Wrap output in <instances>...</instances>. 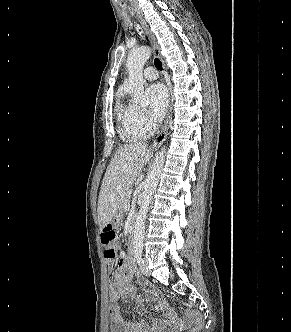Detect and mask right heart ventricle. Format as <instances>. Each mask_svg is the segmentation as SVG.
Wrapping results in <instances>:
<instances>
[{
	"label": "right heart ventricle",
	"instance_id": "right-heart-ventricle-1",
	"mask_svg": "<svg viewBox=\"0 0 291 332\" xmlns=\"http://www.w3.org/2000/svg\"><path fill=\"white\" fill-rule=\"evenodd\" d=\"M115 111L118 117V132L124 141L136 142L148 136V131L142 130L136 124L137 108L134 105L118 100Z\"/></svg>",
	"mask_w": 291,
	"mask_h": 332
}]
</instances>
